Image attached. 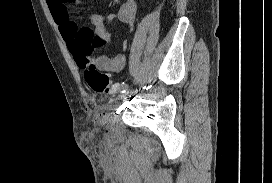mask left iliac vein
Masks as SVG:
<instances>
[{"label":"left iliac vein","instance_id":"4c4485c4","mask_svg":"<svg viewBox=\"0 0 272 183\" xmlns=\"http://www.w3.org/2000/svg\"><path fill=\"white\" fill-rule=\"evenodd\" d=\"M132 94H134V90L128 89V90L126 91V93H124V94L121 93V94L118 96V100H123V99H125V97L131 96Z\"/></svg>","mask_w":272,"mask_h":183}]
</instances>
